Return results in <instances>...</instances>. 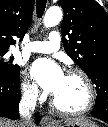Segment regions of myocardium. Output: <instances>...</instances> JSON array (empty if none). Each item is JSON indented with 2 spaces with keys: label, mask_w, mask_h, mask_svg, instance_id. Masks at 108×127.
<instances>
[{
  "label": "myocardium",
  "mask_w": 108,
  "mask_h": 127,
  "mask_svg": "<svg viewBox=\"0 0 108 127\" xmlns=\"http://www.w3.org/2000/svg\"><path fill=\"white\" fill-rule=\"evenodd\" d=\"M67 74L77 75L81 78V80L83 81L85 88H86L87 101H86L85 105L80 109L67 110V109H64L61 106H59L58 103L56 102L55 98L52 97L50 100L51 107L55 111H57L58 113L63 114V115L79 116V115L86 114L93 108L95 101H96V92H95L94 85H93L90 77L87 75V73L85 71H83L82 69L70 68L69 70H67Z\"/></svg>",
  "instance_id": "f54148a6"
}]
</instances>
